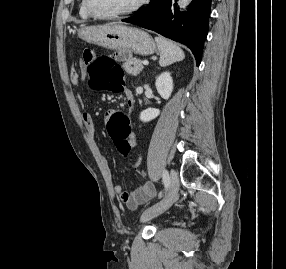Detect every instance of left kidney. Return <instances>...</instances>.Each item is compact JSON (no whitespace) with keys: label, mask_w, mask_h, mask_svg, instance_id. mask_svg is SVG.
Returning <instances> with one entry per match:
<instances>
[{"label":"left kidney","mask_w":286,"mask_h":269,"mask_svg":"<svg viewBox=\"0 0 286 269\" xmlns=\"http://www.w3.org/2000/svg\"><path fill=\"white\" fill-rule=\"evenodd\" d=\"M156 89L163 99H169L173 91V79L169 72H164L158 76L155 83ZM160 114V110L156 108H148L140 113V120L149 122Z\"/></svg>","instance_id":"left-kidney-1"}]
</instances>
